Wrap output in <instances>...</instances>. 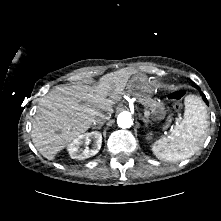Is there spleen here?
Returning a JSON list of instances; mask_svg holds the SVG:
<instances>
[{
    "instance_id": "1",
    "label": "spleen",
    "mask_w": 221,
    "mask_h": 221,
    "mask_svg": "<svg viewBox=\"0 0 221 221\" xmlns=\"http://www.w3.org/2000/svg\"><path fill=\"white\" fill-rule=\"evenodd\" d=\"M208 115L203 101L195 96L185 97V112L167 137L152 145L153 154L162 161L177 162L190 158L203 145L208 129Z\"/></svg>"
}]
</instances>
